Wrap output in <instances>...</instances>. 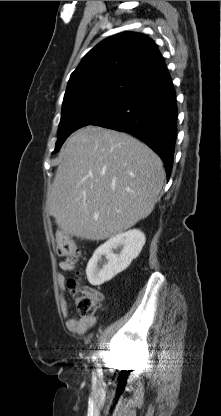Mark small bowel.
<instances>
[{
	"label": "small bowel",
	"instance_id": "1",
	"mask_svg": "<svg viewBox=\"0 0 221 416\" xmlns=\"http://www.w3.org/2000/svg\"><path fill=\"white\" fill-rule=\"evenodd\" d=\"M75 267L76 265L69 261H61L59 263V268L62 272L73 271ZM62 272H59L57 274V283H58V288H59L61 312L64 318L66 319L67 329L72 333L83 335L95 325L97 319L94 316L87 317V318L70 316L69 304L66 298V286H65L66 277Z\"/></svg>",
	"mask_w": 221,
	"mask_h": 416
}]
</instances>
